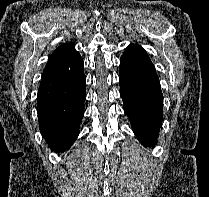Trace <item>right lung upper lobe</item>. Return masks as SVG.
<instances>
[{
	"label": "right lung upper lobe",
	"instance_id": "cb5924a9",
	"mask_svg": "<svg viewBox=\"0 0 209 197\" xmlns=\"http://www.w3.org/2000/svg\"><path fill=\"white\" fill-rule=\"evenodd\" d=\"M73 52H75L74 45L71 43H64L60 45L50 56L43 72L49 71L61 62L66 60Z\"/></svg>",
	"mask_w": 209,
	"mask_h": 197
}]
</instances>
